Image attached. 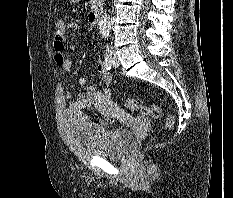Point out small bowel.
<instances>
[{
	"instance_id": "c3829d8e",
	"label": "small bowel",
	"mask_w": 233,
	"mask_h": 198,
	"mask_svg": "<svg viewBox=\"0 0 233 198\" xmlns=\"http://www.w3.org/2000/svg\"><path fill=\"white\" fill-rule=\"evenodd\" d=\"M77 28L78 24L76 23L64 22V32L59 35L55 33L54 35V62L67 73L72 72L73 63L64 51L65 37L69 30ZM96 69L101 75L105 88L103 90H97L94 86L89 84L87 78L80 77L78 82L81 86L85 87V91L78 94L76 99H74L71 92H66L65 94V99L69 101L70 111L78 112L92 105L99 106L103 111H110L115 106L111 99V90L109 88L111 75L105 68L104 62L98 61Z\"/></svg>"
}]
</instances>
